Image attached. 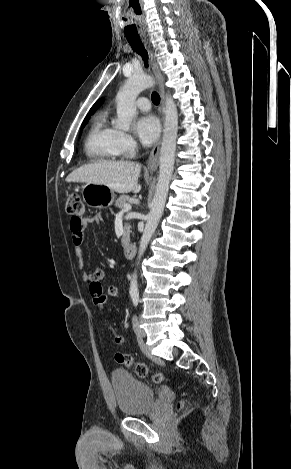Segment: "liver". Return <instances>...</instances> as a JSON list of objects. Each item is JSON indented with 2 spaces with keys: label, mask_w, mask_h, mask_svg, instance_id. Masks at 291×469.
I'll use <instances>...</instances> for the list:
<instances>
[{
  "label": "liver",
  "mask_w": 291,
  "mask_h": 469,
  "mask_svg": "<svg viewBox=\"0 0 291 469\" xmlns=\"http://www.w3.org/2000/svg\"><path fill=\"white\" fill-rule=\"evenodd\" d=\"M140 171L141 165L132 161H100L74 170L66 182L102 184L118 193H138Z\"/></svg>",
  "instance_id": "6515ba94"
}]
</instances>
